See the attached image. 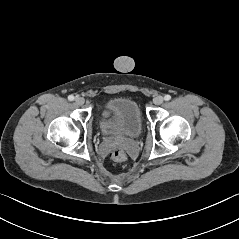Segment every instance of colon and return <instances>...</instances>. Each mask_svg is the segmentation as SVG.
I'll list each match as a JSON object with an SVG mask.
<instances>
[{
	"label": "colon",
	"mask_w": 239,
	"mask_h": 239,
	"mask_svg": "<svg viewBox=\"0 0 239 239\" xmlns=\"http://www.w3.org/2000/svg\"><path fill=\"white\" fill-rule=\"evenodd\" d=\"M110 159L116 163L125 164L128 161V155L123 149L117 148L111 152Z\"/></svg>",
	"instance_id": "colon-1"
}]
</instances>
